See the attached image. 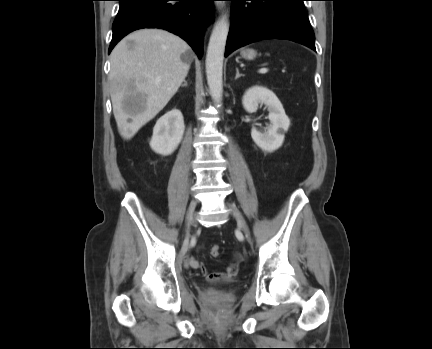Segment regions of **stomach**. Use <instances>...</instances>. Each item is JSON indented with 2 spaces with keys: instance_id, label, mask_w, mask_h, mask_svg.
<instances>
[{
  "instance_id": "obj_1",
  "label": "stomach",
  "mask_w": 432,
  "mask_h": 349,
  "mask_svg": "<svg viewBox=\"0 0 432 349\" xmlns=\"http://www.w3.org/2000/svg\"><path fill=\"white\" fill-rule=\"evenodd\" d=\"M241 56L247 60H253L257 56V52L254 49H243L241 51Z\"/></svg>"
}]
</instances>
